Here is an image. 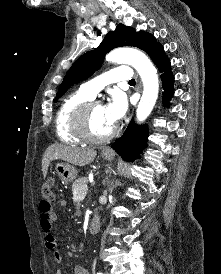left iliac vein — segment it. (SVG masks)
<instances>
[{
    "label": "left iliac vein",
    "instance_id": "left-iliac-vein-1",
    "mask_svg": "<svg viewBox=\"0 0 221 274\" xmlns=\"http://www.w3.org/2000/svg\"><path fill=\"white\" fill-rule=\"evenodd\" d=\"M104 274H109L108 272H105Z\"/></svg>",
    "mask_w": 221,
    "mask_h": 274
}]
</instances>
